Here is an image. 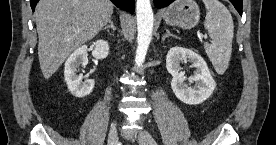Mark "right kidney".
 <instances>
[{
  "label": "right kidney",
  "instance_id": "obj_1",
  "mask_svg": "<svg viewBox=\"0 0 276 145\" xmlns=\"http://www.w3.org/2000/svg\"><path fill=\"white\" fill-rule=\"evenodd\" d=\"M94 47L92 55L96 59H105L109 53V45L105 40H97L93 42ZM87 45L77 48L66 60L64 77L69 91L76 97L82 98L89 95L95 85L93 79L82 82L83 76L77 75L76 71L80 65L88 63Z\"/></svg>",
  "mask_w": 276,
  "mask_h": 145
}]
</instances>
